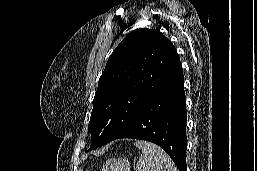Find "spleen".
Instances as JSON below:
<instances>
[{
    "label": "spleen",
    "mask_w": 257,
    "mask_h": 171,
    "mask_svg": "<svg viewBox=\"0 0 257 171\" xmlns=\"http://www.w3.org/2000/svg\"><path fill=\"white\" fill-rule=\"evenodd\" d=\"M134 145L142 150L137 171H178L167 153L159 146L146 141H136Z\"/></svg>",
    "instance_id": "obj_1"
}]
</instances>
